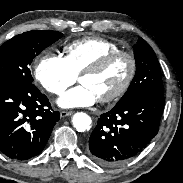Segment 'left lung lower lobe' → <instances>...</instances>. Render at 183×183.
<instances>
[{"label": "left lung lower lobe", "instance_id": "0a47b994", "mask_svg": "<svg viewBox=\"0 0 183 183\" xmlns=\"http://www.w3.org/2000/svg\"><path fill=\"white\" fill-rule=\"evenodd\" d=\"M164 96L141 95L100 116L89 139L90 156L115 166L141 152L159 130Z\"/></svg>", "mask_w": 183, "mask_h": 183}]
</instances>
